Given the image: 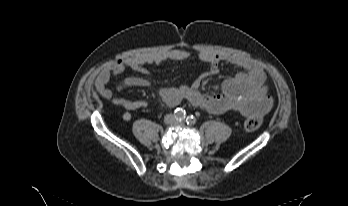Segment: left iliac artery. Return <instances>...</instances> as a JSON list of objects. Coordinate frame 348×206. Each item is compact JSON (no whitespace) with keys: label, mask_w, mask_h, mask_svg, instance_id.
<instances>
[{"label":"left iliac artery","mask_w":348,"mask_h":206,"mask_svg":"<svg viewBox=\"0 0 348 206\" xmlns=\"http://www.w3.org/2000/svg\"><path fill=\"white\" fill-rule=\"evenodd\" d=\"M196 121H197V120H196V117L193 116V115H189V116H187V118H186V123H187L188 125H190V126L196 124Z\"/></svg>","instance_id":"1"}]
</instances>
